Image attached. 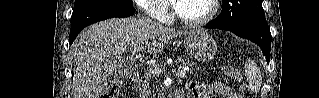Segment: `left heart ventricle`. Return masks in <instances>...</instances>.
<instances>
[{"instance_id": "1", "label": "left heart ventricle", "mask_w": 319, "mask_h": 98, "mask_svg": "<svg viewBox=\"0 0 319 98\" xmlns=\"http://www.w3.org/2000/svg\"><path fill=\"white\" fill-rule=\"evenodd\" d=\"M176 5L178 12L187 19L201 18L211 8L210 0H181Z\"/></svg>"}]
</instances>
